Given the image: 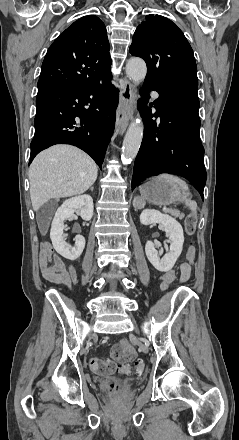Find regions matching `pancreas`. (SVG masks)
<instances>
[{"mask_svg":"<svg viewBox=\"0 0 239 440\" xmlns=\"http://www.w3.org/2000/svg\"><path fill=\"white\" fill-rule=\"evenodd\" d=\"M169 214H171V216H176V218H180V220L185 216V214H181L178 210H169Z\"/></svg>","mask_w":239,"mask_h":440,"instance_id":"cf45deb5","label":"pancreas"}]
</instances>
